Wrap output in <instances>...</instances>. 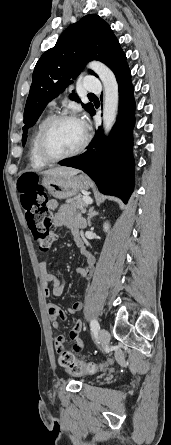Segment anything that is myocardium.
Here are the masks:
<instances>
[{
    "label": "myocardium",
    "mask_w": 171,
    "mask_h": 445,
    "mask_svg": "<svg viewBox=\"0 0 171 445\" xmlns=\"http://www.w3.org/2000/svg\"><path fill=\"white\" fill-rule=\"evenodd\" d=\"M66 120L77 121L83 125V128H84L83 141L79 145L78 148H76L75 150H73L67 154L59 155V156H52V155L48 154V152L45 149L46 136H47L48 132L50 131V129L54 125H56L57 123H59L61 121H66ZM89 141H90L89 130L81 118H79L78 116H76L74 114H70V113L57 114V115L52 116L43 125V127L39 133L38 140H37V152H38L39 157L46 163H55V162H59V161H62V160L68 159V158H72V157H75V156L81 154L88 146Z\"/></svg>",
    "instance_id": "myocardium-1"
}]
</instances>
